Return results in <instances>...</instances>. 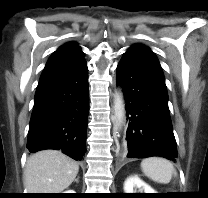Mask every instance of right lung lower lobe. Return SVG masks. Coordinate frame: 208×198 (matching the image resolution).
<instances>
[{"instance_id": "obj_1", "label": "right lung lower lobe", "mask_w": 208, "mask_h": 198, "mask_svg": "<svg viewBox=\"0 0 208 198\" xmlns=\"http://www.w3.org/2000/svg\"><path fill=\"white\" fill-rule=\"evenodd\" d=\"M88 113L86 62L64 76L39 83L28 132V150L34 153L56 149L82 160Z\"/></svg>"}]
</instances>
